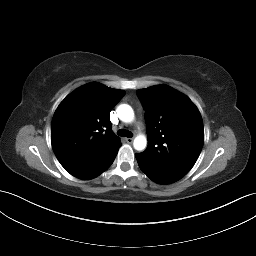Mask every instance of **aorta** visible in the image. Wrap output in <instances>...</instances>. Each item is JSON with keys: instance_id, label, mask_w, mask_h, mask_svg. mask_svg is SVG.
I'll return each instance as SVG.
<instances>
[{"instance_id": "762f6f07", "label": "aorta", "mask_w": 256, "mask_h": 256, "mask_svg": "<svg viewBox=\"0 0 256 256\" xmlns=\"http://www.w3.org/2000/svg\"><path fill=\"white\" fill-rule=\"evenodd\" d=\"M118 117L125 123H130L134 120V111L131 106L127 104H121L117 109ZM147 139L144 135H138L133 142V146L136 150L142 151L146 148Z\"/></svg>"}]
</instances>
